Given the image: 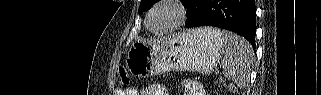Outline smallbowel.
I'll use <instances>...</instances> for the list:
<instances>
[{
  "label": "small bowel",
  "mask_w": 321,
  "mask_h": 95,
  "mask_svg": "<svg viewBox=\"0 0 321 95\" xmlns=\"http://www.w3.org/2000/svg\"><path fill=\"white\" fill-rule=\"evenodd\" d=\"M168 90L161 84H152L145 91L139 92L136 89L129 88L126 90V95H168ZM197 95H203L204 92L201 88L197 89Z\"/></svg>",
  "instance_id": "1"
}]
</instances>
